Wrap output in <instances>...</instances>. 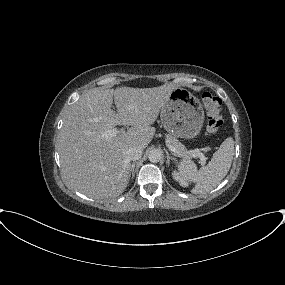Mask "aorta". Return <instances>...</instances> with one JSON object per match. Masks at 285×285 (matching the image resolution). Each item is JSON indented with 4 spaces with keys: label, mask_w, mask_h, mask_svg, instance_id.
Masks as SVG:
<instances>
[{
    "label": "aorta",
    "mask_w": 285,
    "mask_h": 285,
    "mask_svg": "<svg viewBox=\"0 0 285 285\" xmlns=\"http://www.w3.org/2000/svg\"><path fill=\"white\" fill-rule=\"evenodd\" d=\"M162 154L159 150L157 149H152L148 153V159L152 163H157L161 160Z\"/></svg>",
    "instance_id": "1"
}]
</instances>
